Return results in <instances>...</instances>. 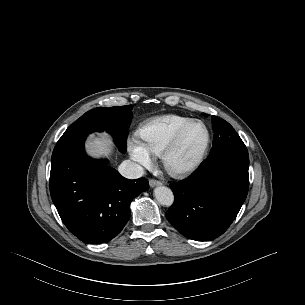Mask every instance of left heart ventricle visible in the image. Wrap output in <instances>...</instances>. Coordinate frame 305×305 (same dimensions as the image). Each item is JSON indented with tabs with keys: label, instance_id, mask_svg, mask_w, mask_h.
I'll return each mask as SVG.
<instances>
[{
	"label": "left heart ventricle",
	"instance_id": "left-heart-ventricle-1",
	"mask_svg": "<svg viewBox=\"0 0 305 305\" xmlns=\"http://www.w3.org/2000/svg\"><path fill=\"white\" fill-rule=\"evenodd\" d=\"M206 140V131L202 125L192 126L186 133L182 144L173 157L176 165L192 162L202 150Z\"/></svg>",
	"mask_w": 305,
	"mask_h": 305
}]
</instances>
